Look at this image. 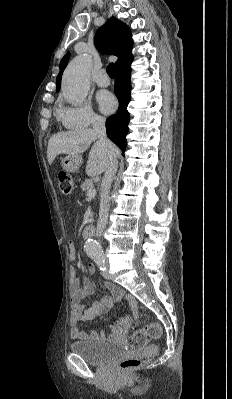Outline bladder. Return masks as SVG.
<instances>
[{
	"label": "bladder",
	"mask_w": 232,
	"mask_h": 399,
	"mask_svg": "<svg viewBox=\"0 0 232 399\" xmlns=\"http://www.w3.org/2000/svg\"><path fill=\"white\" fill-rule=\"evenodd\" d=\"M70 350L86 362L99 365L123 354L121 343L104 341H75L70 344Z\"/></svg>",
	"instance_id": "31cf9c89"
}]
</instances>
